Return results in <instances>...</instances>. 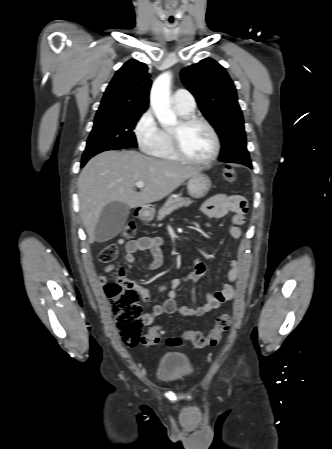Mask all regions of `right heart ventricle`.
Returning a JSON list of instances; mask_svg holds the SVG:
<instances>
[{
  "mask_svg": "<svg viewBox=\"0 0 332 449\" xmlns=\"http://www.w3.org/2000/svg\"><path fill=\"white\" fill-rule=\"evenodd\" d=\"M175 110L182 117H186L189 115V113L182 112L181 110H179L176 107H175ZM152 154L157 158L165 159V160L174 161V160L178 159L172 149L170 131L162 130L161 141H160L159 145L157 146V148L152 152Z\"/></svg>",
  "mask_w": 332,
  "mask_h": 449,
  "instance_id": "1",
  "label": "right heart ventricle"
}]
</instances>
